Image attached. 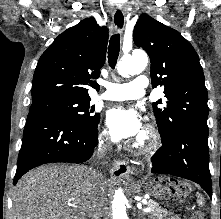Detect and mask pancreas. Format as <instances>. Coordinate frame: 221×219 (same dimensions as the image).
Here are the masks:
<instances>
[{
  "instance_id": "pancreas-1",
  "label": "pancreas",
  "mask_w": 221,
  "mask_h": 219,
  "mask_svg": "<svg viewBox=\"0 0 221 219\" xmlns=\"http://www.w3.org/2000/svg\"><path fill=\"white\" fill-rule=\"evenodd\" d=\"M146 205L151 208V211L149 212L150 219H180L178 216H173L172 212L161 208L153 200L148 201Z\"/></svg>"
}]
</instances>
